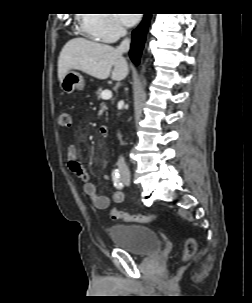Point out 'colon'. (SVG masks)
<instances>
[{
	"label": "colon",
	"instance_id": "5ec220e1",
	"mask_svg": "<svg viewBox=\"0 0 252 303\" xmlns=\"http://www.w3.org/2000/svg\"><path fill=\"white\" fill-rule=\"evenodd\" d=\"M59 123L63 127H68L71 125V116L68 111L62 110L59 113ZM111 218L113 220H121L125 222H133V223H147L151 222L155 219L153 214H142V213H130L123 210H116L113 209L111 211ZM196 251V246L193 241H188L185 244L183 254H182V261L189 260Z\"/></svg>",
	"mask_w": 252,
	"mask_h": 303
}]
</instances>
